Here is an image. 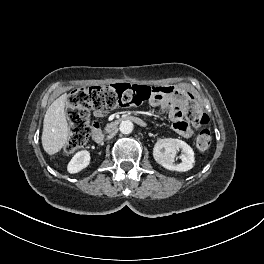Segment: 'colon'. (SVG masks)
<instances>
[{"label":"colon","instance_id":"5ec220e1","mask_svg":"<svg viewBox=\"0 0 264 264\" xmlns=\"http://www.w3.org/2000/svg\"><path fill=\"white\" fill-rule=\"evenodd\" d=\"M155 87L129 83H116L102 86L78 87L67 97V115L70 124L69 139L65 150L74 152L83 147L98 123H90V112H106L118 107H135L151 99L158 93ZM188 102L184 115L187 122L200 130L195 143L200 151H205L211 143L210 131L205 128L208 117L194 96L187 92Z\"/></svg>","mask_w":264,"mask_h":264}]
</instances>
